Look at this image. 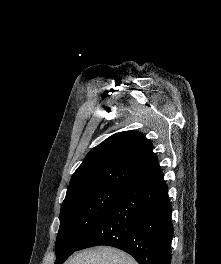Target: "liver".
<instances>
[{"mask_svg": "<svg viewBox=\"0 0 221 264\" xmlns=\"http://www.w3.org/2000/svg\"><path fill=\"white\" fill-rule=\"evenodd\" d=\"M65 264H138L129 254L111 247L81 251Z\"/></svg>", "mask_w": 221, "mask_h": 264, "instance_id": "liver-1", "label": "liver"}]
</instances>
